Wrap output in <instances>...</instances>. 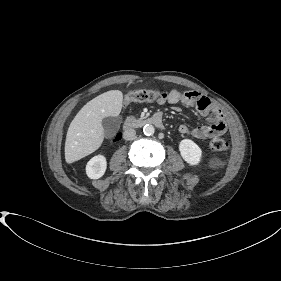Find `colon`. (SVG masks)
<instances>
[{"label":"colon","mask_w":281,"mask_h":281,"mask_svg":"<svg viewBox=\"0 0 281 281\" xmlns=\"http://www.w3.org/2000/svg\"><path fill=\"white\" fill-rule=\"evenodd\" d=\"M160 98V93L156 90H135L125 95L124 103L126 105L135 102H152ZM120 138L117 135L116 140ZM209 147L214 151H225L229 148V144L222 138H213L209 142Z\"/></svg>","instance_id":"colon-1"}]
</instances>
